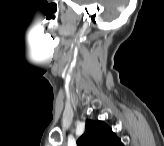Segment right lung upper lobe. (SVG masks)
Segmentation results:
<instances>
[{"label":"right lung upper lobe","mask_w":164,"mask_h":146,"mask_svg":"<svg viewBox=\"0 0 164 146\" xmlns=\"http://www.w3.org/2000/svg\"><path fill=\"white\" fill-rule=\"evenodd\" d=\"M79 146H122L121 140L102 121H86L85 133L78 139Z\"/></svg>","instance_id":"1"}]
</instances>
